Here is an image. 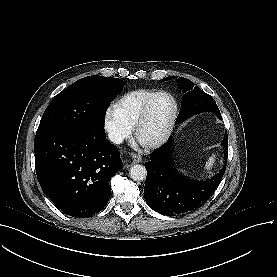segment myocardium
Returning <instances> with one entry per match:
<instances>
[{
    "mask_svg": "<svg viewBox=\"0 0 277 277\" xmlns=\"http://www.w3.org/2000/svg\"><path fill=\"white\" fill-rule=\"evenodd\" d=\"M159 95L167 97L173 103V111H172V115L170 118V122L168 124L166 131L164 132V134L161 137H159L156 140H152V141H144L139 136V130H140V127H141L146 115H147V112H148V109H149V106H150L152 100L156 96H159ZM177 113H178V104H177L175 98L171 94H169L168 92H165V91H156V92L152 93L148 97V99L141 111V114L139 115L138 119L135 122L134 132H133V137H134L135 142L144 149H154V148L161 146L169 138V136L173 130V127H174V124H175V121L177 118Z\"/></svg>",
    "mask_w": 277,
    "mask_h": 277,
    "instance_id": "1",
    "label": "myocardium"
}]
</instances>
